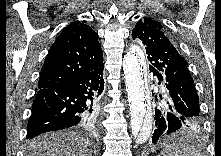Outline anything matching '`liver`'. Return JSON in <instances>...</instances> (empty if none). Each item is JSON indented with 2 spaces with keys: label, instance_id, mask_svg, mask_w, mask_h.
Wrapping results in <instances>:
<instances>
[{
  "label": "liver",
  "instance_id": "obj_1",
  "mask_svg": "<svg viewBox=\"0 0 221 156\" xmlns=\"http://www.w3.org/2000/svg\"><path fill=\"white\" fill-rule=\"evenodd\" d=\"M26 156H92V145L71 131H58L40 135L29 141Z\"/></svg>",
  "mask_w": 221,
  "mask_h": 156
}]
</instances>
